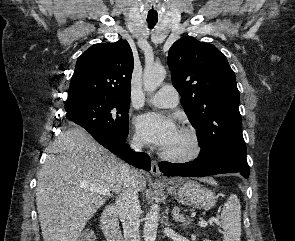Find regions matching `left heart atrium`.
<instances>
[{"instance_id":"obj_1","label":"left heart atrium","mask_w":295,"mask_h":241,"mask_svg":"<svg viewBox=\"0 0 295 241\" xmlns=\"http://www.w3.org/2000/svg\"><path fill=\"white\" fill-rule=\"evenodd\" d=\"M136 127L147 143L163 150L174 142L179 133L176 124L172 120L156 113L139 116L136 120Z\"/></svg>"}]
</instances>
